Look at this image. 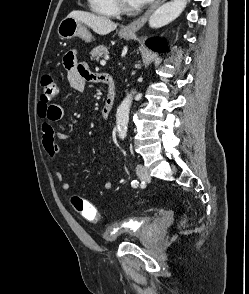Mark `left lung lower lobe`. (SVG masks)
Wrapping results in <instances>:
<instances>
[{"label":"left lung lower lobe","mask_w":249,"mask_h":294,"mask_svg":"<svg viewBox=\"0 0 249 294\" xmlns=\"http://www.w3.org/2000/svg\"><path fill=\"white\" fill-rule=\"evenodd\" d=\"M146 45L154 51H163V42L158 38L149 39L146 41Z\"/></svg>","instance_id":"left-lung-lower-lobe-1"}]
</instances>
